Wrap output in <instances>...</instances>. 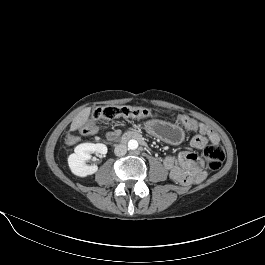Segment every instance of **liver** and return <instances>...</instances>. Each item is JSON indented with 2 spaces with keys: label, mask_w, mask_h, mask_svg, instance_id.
Returning <instances> with one entry per match:
<instances>
[{
  "label": "liver",
  "mask_w": 265,
  "mask_h": 265,
  "mask_svg": "<svg viewBox=\"0 0 265 265\" xmlns=\"http://www.w3.org/2000/svg\"><path fill=\"white\" fill-rule=\"evenodd\" d=\"M90 112H91L90 107H87L83 109L81 112H79L72 120L70 131H75L82 128V126H84L88 121Z\"/></svg>",
  "instance_id": "6515ba94"
}]
</instances>
